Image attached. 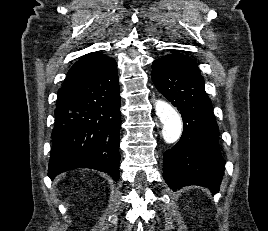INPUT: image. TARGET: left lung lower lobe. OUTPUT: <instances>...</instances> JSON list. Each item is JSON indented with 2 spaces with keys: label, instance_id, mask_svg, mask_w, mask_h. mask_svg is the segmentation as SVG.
<instances>
[{
  "label": "left lung lower lobe",
  "instance_id": "0a47b994",
  "mask_svg": "<svg viewBox=\"0 0 268 231\" xmlns=\"http://www.w3.org/2000/svg\"><path fill=\"white\" fill-rule=\"evenodd\" d=\"M152 80L158 91L180 111L183 134L164 153V178L171 189L200 185L219 191L224 161L219 149V128L200 72L162 57L152 63Z\"/></svg>",
  "mask_w": 268,
  "mask_h": 231
}]
</instances>
